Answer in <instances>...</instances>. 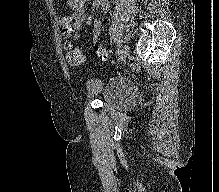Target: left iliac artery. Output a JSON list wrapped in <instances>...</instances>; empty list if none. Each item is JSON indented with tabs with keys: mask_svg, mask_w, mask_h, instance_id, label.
Returning <instances> with one entry per match:
<instances>
[{
	"mask_svg": "<svg viewBox=\"0 0 219 192\" xmlns=\"http://www.w3.org/2000/svg\"><path fill=\"white\" fill-rule=\"evenodd\" d=\"M120 51H121V47H120V45H119L118 48H117V50H116V53L119 54Z\"/></svg>",
	"mask_w": 219,
	"mask_h": 192,
	"instance_id": "44dca946",
	"label": "left iliac artery"
}]
</instances>
